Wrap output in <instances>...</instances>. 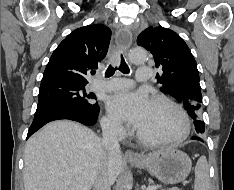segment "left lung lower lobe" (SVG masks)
<instances>
[{
	"label": "left lung lower lobe",
	"instance_id": "0a47b994",
	"mask_svg": "<svg viewBox=\"0 0 234 190\" xmlns=\"http://www.w3.org/2000/svg\"><path fill=\"white\" fill-rule=\"evenodd\" d=\"M192 139L203 141V140H202V139H200L199 137H192Z\"/></svg>",
	"mask_w": 234,
	"mask_h": 190
}]
</instances>
